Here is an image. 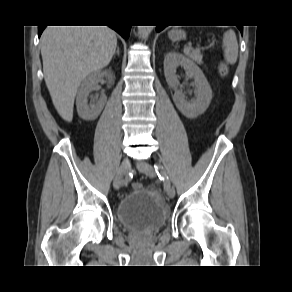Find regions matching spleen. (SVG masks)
<instances>
[{
    "instance_id": "spleen-1",
    "label": "spleen",
    "mask_w": 292,
    "mask_h": 292,
    "mask_svg": "<svg viewBox=\"0 0 292 292\" xmlns=\"http://www.w3.org/2000/svg\"><path fill=\"white\" fill-rule=\"evenodd\" d=\"M223 48L225 60L230 64L236 63L238 57V43L234 31L229 30L225 32Z\"/></svg>"
}]
</instances>
